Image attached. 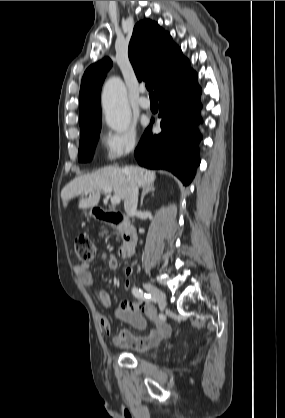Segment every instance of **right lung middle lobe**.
Masks as SVG:
<instances>
[{
  "label": "right lung middle lobe",
  "instance_id": "right-lung-middle-lobe-1",
  "mask_svg": "<svg viewBox=\"0 0 285 418\" xmlns=\"http://www.w3.org/2000/svg\"><path fill=\"white\" fill-rule=\"evenodd\" d=\"M80 129L81 137L78 152V160L80 162H87L91 160L95 146L99 138L101 129V118L91 123L81 125Z\"/></svg>",
  "mask_w": 285,
  "mask_h": 418
}]
</instances>
